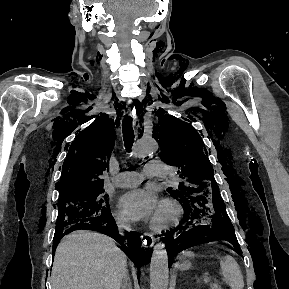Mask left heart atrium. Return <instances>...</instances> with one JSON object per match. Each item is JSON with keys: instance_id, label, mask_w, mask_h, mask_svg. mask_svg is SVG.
<instances>
[{"instance_id": "1", "label": "left heart atrium", "mask_w": 289, "mask_h": 289, "mask_svg": "<svg viewBox=\"0 0 289 289\" xmlns=\"http://www.w3.org/2000/svg\"><path fill=\"white\" fill-rule=\"evenodd\" d=\"M119 206L132 220L155 218L157 200L152 189L139 188L124 193L119 198Z\"/></svg>"}]
</instances>
